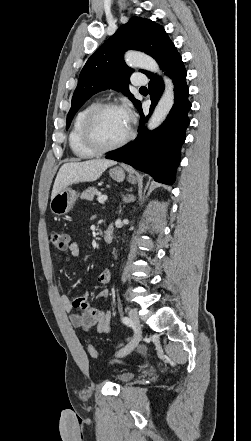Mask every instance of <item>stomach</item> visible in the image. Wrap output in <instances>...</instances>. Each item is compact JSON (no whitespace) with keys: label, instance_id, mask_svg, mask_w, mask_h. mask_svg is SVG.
Instances as JSON below:
<instances>
[{"label":"stomach","instance_id":"0dacf381","mask_svg":"<svg viewBox=\"0 0 251 441\" xmlns=\"http://www.w3.org/2000/svg\"><path fill=\"white\" fill-rule=\"evenodd\" d=\"M110 177L117 181L122 182L125 179V171L121 167H114L109 171ZM128 180L132 183L136 181L135 176L129 175ZM77 200V193L71 188H65L51 198L50 209L55 215H64L69 212Z\"/></svg>","mask_w":251,"mask_h":441}]
</instances>
